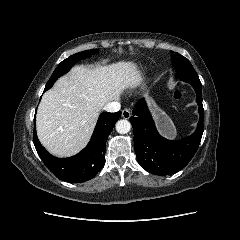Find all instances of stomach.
<instances>
[{
    "instance_id": "1",
    "label": "stomach",
    "mask_w": 240,
    "mask_h": 240,
    "mask_svg": "<svg viewBox=\"0 0 240 240\" xmlns=\"http://www.w3.org/2000/svg\"><path fill=\"white\" fill-rule=\"evenodd\" d=\"M152 111L157 122L159 131L168 138L176 136V128L171 119L152 102Z\"/></svg>"
}]
</instances>
